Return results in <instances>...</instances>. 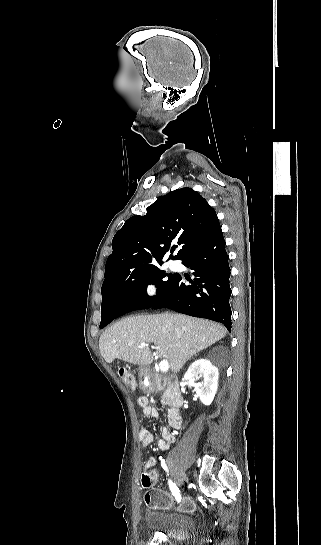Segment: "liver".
Returning <instances> with one entry per match:
<instances>
[{
	"label": "liver",
	"instance_id": "6515ba94",
	"mask_svg": "<svg viewBox=\"0 0 321 545\" xmlns=\"http://www.w3.org/2000/svg\"><path fill=\"white\" fill-rule=\"evenodd\" d=\"M226 333L222 325L186 315H132L105 329L99 339V351L106 363L121 359L149 367L154 355L149 347L140 345L153 343L155 355L167 359L171 371L178 373L188 359L223 339Z\"/></svg>",
	"mask_w": 321,
	"mask_h": 545
}]
</instances>
